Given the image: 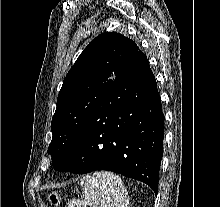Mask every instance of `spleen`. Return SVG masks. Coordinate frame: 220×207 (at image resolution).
Returning <instances> with one entry per match:
<instances>
[{
  "label": "spleen",
  "mask_w": 220,
  "mask_h": 207,
  "mask_svg": "<svg viewBox=\"0 0 220 207\" xmlns=\"http://www.w3.org/2000/svg\"><path fill=\"white\" fill-rule=\"evenodd\" d=\"M84 201L72 200L68 207H128L129 198L123 181L117 174L95 172L81 179Z\"/></svg>",
  "instance_id": "1"
}]
</instances>
